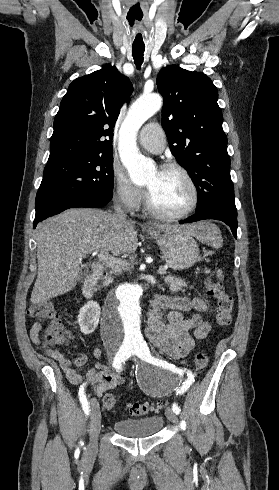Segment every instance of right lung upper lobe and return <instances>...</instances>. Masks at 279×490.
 <instances>
[{
    "label": "right lung upper lobe",
    "mask_w": 279,
    "mask_h": 490,
    "mask_svg": "<svg viewBox=\"0 0 279 490\" xmlns=\"http://www.w3.org/2000/svg\"><path fill=\"white\" fill-rule=\"evenodd\" d=\"M132 90L129 79L111 65L75 79L55 116L48 162L113 149V127Z\"/></svg>",
    "instance_id": "cb5924a9"
}]
</instances>
